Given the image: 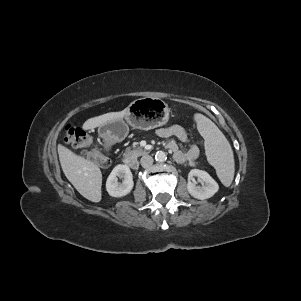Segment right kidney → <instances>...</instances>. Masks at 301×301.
I'll return each instance as SVG.
<instances>
[{"mask_svg": "<svg viewBox=\"0 0 301 301\" xmlns=\"http://www.w3.org/2000/svg\"><path fill=\"white\" fill-rule=\"evenodd\" d=\"M118 177H124L122 183ZM134 182L130 168L127 165L119 164L114 167L106 181V190L112 197H122L131 192Z\"/></svg>", "mask_w": 301, "mask_h": 301, "instance_id": "ca27d5eb", "label": "right kidney"}]
</instances>
